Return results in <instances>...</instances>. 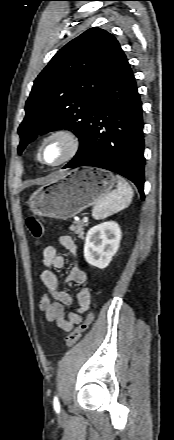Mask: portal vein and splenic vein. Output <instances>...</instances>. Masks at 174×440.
<instances>
[{"label":"portal vein and splenic vein","mask_w":174,"mask_h":440,"mask_svg":"<svg viewBox=\"0 0 174 440\" xmlns=\"http://www.w3.org/2000/svg\"><path fill=\"white\" fill-rule=\"evenodd\" d=\"M83 222H88V217H83Z\"/></svg>","instance_id":"portal-vein-and-splenic-vein-1"}]
</instances>
